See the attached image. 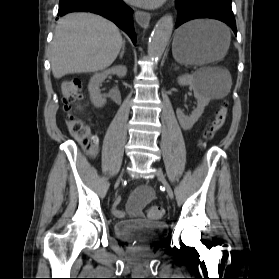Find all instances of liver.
<instances>
[{
    "instance_id": "obj_1",
    "label": "liver",
    "mask_w": 279,
    "mask_h": 279,
    "mask_svg": "<svg viewBox=\"0 0 279 279\" xmlns=\"http://www.w3.org/2000/svg\"><path fill=\"white\" fill-rule=\"evenodd\" d=\"M123 45L112 22L91 13L59 19L51 44V69L56 79L67 74L97 72L109 67Z\"/></svg>"
}]
</instances>
